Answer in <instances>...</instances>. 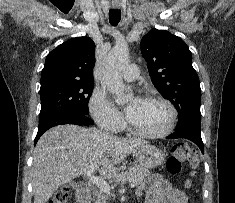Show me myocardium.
<instances>
[{"label":"myocardium","instance_id":"1","mask_svg":"<svg viewBox=\"0 0 235 203\" xmlns=\"http://www.w3.org/2000/svg\"><path fill=\"white\" fill-rule=\"evenodd\" d=\"M143 100L155 101V102H160V103L164 104L169 111V119H168L167 124L160 131L146 132V131H142V130L138 129L137 127H135L131 123L129 117H127L126 122H125L127 130L136 136L148 138V139L163 138V137H166L169 134H171V132L175 128L177 118H178L177 110H176L175 106L173 105V103L171 101H169L168 99L161 97V96H157V95H146L143 97Z\"/></svg>","mask_w":235,"mask_h":203}]
</instances>
